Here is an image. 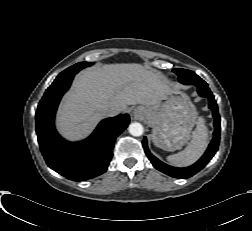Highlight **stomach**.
<instances>
[{
	"label": "stomach",
	"instance_id": "1",
	"mask_svg": "<svg viewBox=\"0 0 252 231\" xmlns=\"http://www.w3.org/2000/svg\"><path fill=\"white\" fill-rule=\"evenodd\" d=\"M140 118L152 128L153 143L167 151L181 148L196 121V109L182 92L168 95L159 105L139 106Z\"/></svg>",
	"mask_w": 252,
	"mask_h": 231
}]
</instances>
